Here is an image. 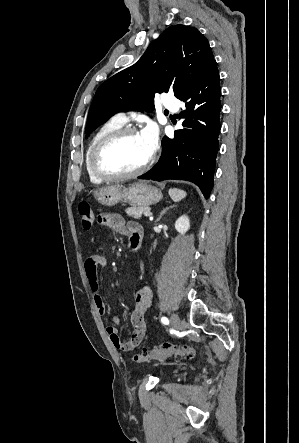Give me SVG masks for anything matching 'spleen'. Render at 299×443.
<instances>
[{
  "mask_svg": "<svg viewBox=\"0 0 299 443\" xmlns=\"http://www.w3.org/2000/svg\"><path fill=\"white\" fill-rule=\"evenodd\" d=\"M169 195L174 202H179L186 197V192L177 188H170Z\"/></svg>",
  "mask_w": 299,
  "mask_h": 443,
  "instance_id": "1",
  "label": "spleen"
}]
</instances>
